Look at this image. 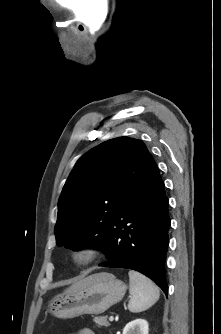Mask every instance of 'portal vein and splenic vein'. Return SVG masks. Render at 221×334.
I'll return each instance as SVG.
<instances>
[{"label":"portal vein and splenic vein","mask_w":221,"mask_h":334,"mask_svg":"<svg viewBox=\"0 0 221 334\" xmlns=\"http://www.w3.org/2000/svg\"><path fill=\"white\" fill-rule=\"evenodd\" d=\"M114 320V317L113 316H110L109 317V321H113Z\"/></svg>","instance_id":"18ae733b"}]
</instances>
